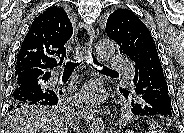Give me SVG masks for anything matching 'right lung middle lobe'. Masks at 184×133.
I'll return each instance as SVG.
<instances>
[{
	"label": "right lung middle lobe",
	"instance_id": "1",
	"mask_svg": "<svg viewBox=\"0 0 184 133\" xmlns=\"http://www.w3.org/2000/svg\"><path fill=\"white\" fill-rule=\"evenodd\" d=\"M15 85H16V83L14 84V86ZM31 106L39 107L36 105H27L24 103H16V104L12 103L10 106V109L14 110L16 113H21V112H25L26 110H28V108H30Z\"/></svg>",
	"mask_w": 184,
	"mask_h": 133
}]
</instances>
